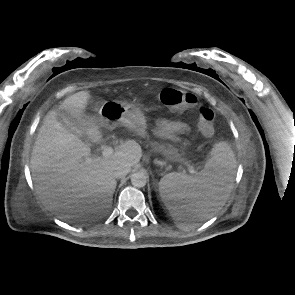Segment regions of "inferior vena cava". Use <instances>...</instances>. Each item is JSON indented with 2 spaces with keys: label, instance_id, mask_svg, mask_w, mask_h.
Here are the masks:
<instances>
[{
  "label": "inferior vena cava",
  "instance_id": "1",
  "mask_svg": "<svg viewBox=\"0 0 295 295\" xmlns=\"http://www.w3.org/2000/svg\"><path fill=\"white\" fill-rule=\"evenodd\" d=\"M130 169L128 165H118L115 167L114 177L118 179L123 178L130 172Z\"/></svg>",
  "mask_w": 295,
  "mask_h": 295
}]
</instances>
